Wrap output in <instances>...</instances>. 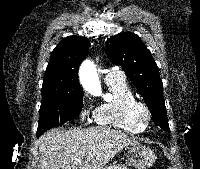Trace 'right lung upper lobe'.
Instances as JSON below:
<instances>
[{
    "mask_svg": "<svg viewBox=\"0 0 200 169\" xmlns=\"http://www.w3.org/2000/svg\"><path fill=\"white\" fill-rule=\"evenodd\" d=\"M88 48L89 40L78 36L64 38L54 48L44 76L42 97L83 92L78 81V68Z\"/></svg>",
    "mask_w": 200,
    "mask_h": 169,
    "instance_id": "right-lung-upper-lobe-1",
    "label": "right lung upper lobe"
}]
</instances>
